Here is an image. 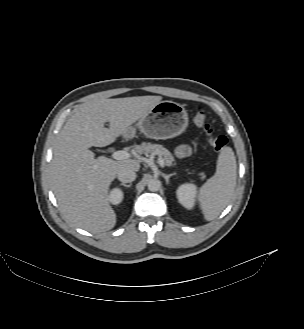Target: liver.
<instances>
[{"mask_svg": "<svg viewBox=\"0 0 304 329\" xmlns=\"http://www.w3.org/2000/svg\"><path fill=\"white\" fill-rule=\"evenodd\" d=\"M161 96L98 99L79 108L59 133L53 150L50 179L65 217L91 233L116 224L109 187L121 169L138 171V160L95 159L90 147L112 144L124 131L161 102ZM109 122V128L104 124Z\"/></svg>", "mask_w": 304, "mask_h": 329, "instance_id": "liver-1", "label": "liver"}]
</instances>
